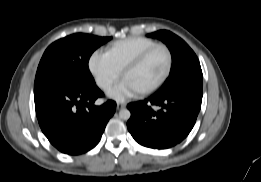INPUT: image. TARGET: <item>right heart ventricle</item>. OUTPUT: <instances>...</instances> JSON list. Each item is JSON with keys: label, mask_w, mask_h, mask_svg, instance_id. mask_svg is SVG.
<instances>
[{"label": "right heart ventricle", "mask_w": 261, "mask_h": 182, "mask_svg": "<svg viewBox=\"0 0 261 182\" xmlns=\"http://www.w3.org/2000/svg\"><path fill=\"white\" fill-rule=\"evenodd\" d=\"M156 44L157 42L149 38L129 37L109 44L106 47L105 54L113 65L122 72L140 53Z\"/></svg>", "instance_id": "right-heart-ventricle-1"}]
</instances>
